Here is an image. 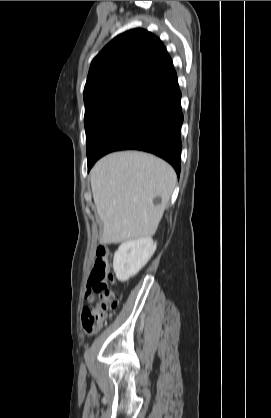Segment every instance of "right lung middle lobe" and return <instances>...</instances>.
I'll return each mask as SVG.
<instances>
[{
	"label": "right lung middle lobe",
	"mask_w": 271,
	"mask_h": 418,
	"mask_svg": "<svg viewBox=\"0 0 271 418\" xmlns=\"http://www.w3.org/2000/svg\"><path fill=\"white\" fill-rule=\"evenodd\" d=\"M151 103L136 96L122 95L85 107L88 167L95 162L107 141Z\"/></svg>",
	"instance_id": "1"
}]
</instances>
